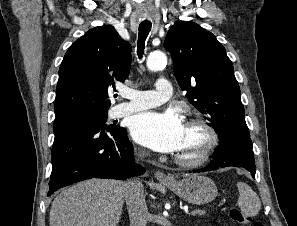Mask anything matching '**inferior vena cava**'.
<instances>
[{"label": "inferior vena cava", "instance_id": "1", "mask_svg": "<svg viewBox=\"0 0 297 226\" xmlns=\"http://www.w3.org/2000/svg\"><path fill=\"white\" fill-rule=\"evenodd\" d=\"M124 197L129 213L130 226H146L149 213L145 202L143 184L138 179L128 181Z\"/></svg>", "mask_w": 297, "mask_h": 226}]
</instances>
